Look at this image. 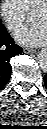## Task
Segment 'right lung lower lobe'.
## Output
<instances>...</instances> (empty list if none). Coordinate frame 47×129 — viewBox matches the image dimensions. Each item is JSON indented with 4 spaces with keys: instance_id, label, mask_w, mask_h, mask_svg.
Masks as SVG:
<instances>
[{
    "instance_id": "98d812e1",
    "label": "right lung lower lobe",
    "mask_w": 47,
    "mask_h": 129,
    "mask_svg": "<svg viewBox=\"0 0 47 129\" xmlns=\"http://www.w3.org/2000/svg\"><path fill=\"white\" fill-rule=\"evenodd\" d=\"M22 52V48L16 44L0 23V89L8 82L12 67L10 59Z\"/></svg>"
}]
</instances>
